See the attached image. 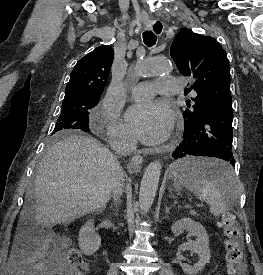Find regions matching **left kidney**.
I'll return each mask as SVG.
<instances>
[{
    "instance_id": "1",
    "label": "left kidney",
    "mask_w": 263,
    "mask_h": 275,
    "mask_svg": "<svg viewBox=\"0 0 263 275\" xmlns=\"http://www.w3.org/2000/svg\"><path fill=\"white\" fill-rule=\"evenodd\" d=\"M173 233H178L186 230L191 236H195L196 240H188L179 246L178 250H190L198 254L199 261L192 265L179 262L182 270L187 275H196L200 272L207 263L210 262L209 237L202 224L192 220L191 218H182L177 220L171 226ZM178 262V260H175Z\"/></svg>"
}]
</instances>
